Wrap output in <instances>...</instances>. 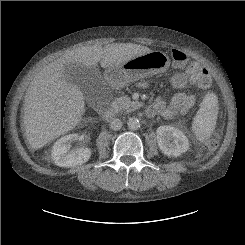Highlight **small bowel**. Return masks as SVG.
Masks as SVG:
<instances>
[{
    "mask_svg": "<svg viewBox=\"0 0 245 245\" xmlns=\"http://www.w3.org/2000/svg\"><path fill=\"white\" fill-rule=\"evenodd\" d=\"M203 72H207V70L199 64L193 63L183 73H175L171 77V84L178 91L173 95L170 102L163 96H158L153 104L148 106L147 115L150 117L160 115L165 119H174L190 110L195 105L197 98L196 95L186 93L183 89L187 84L199 87L195 81V76Z\"/></svg>",
    "mask_w": 245,
    "mask_h": 245,
    "instance_id": "obj_1",
    "label": "small bowel"
}]
</instances>
